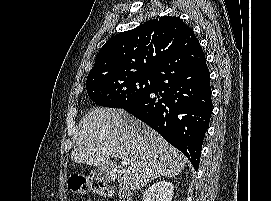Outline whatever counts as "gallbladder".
<instances>
[{
  "mask_svg": "<svg viewBox=\"0 0 271 201\" xmlns=\"http://www.w3.org/2000/svg\"><path fill=\"white\" fill-rule=\"evenodd\" d=\"M97 179L109 183L115 179V166L113 162H106L94 170Z\"/></svg>",
  "mask_w": 271,
  "mask_h": 201,
  "instance_id": "bac80fb5",
  "label": "gallbladder"
}]
</instances>
